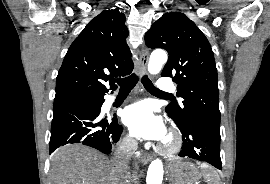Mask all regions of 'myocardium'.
<instances>
[{
  "label": "myocardium",
  "mask_w": 270,
  "mask_h": 184,
  "mask_svg": "<svg viewBox=\"0 0 270 184\" xmlns=\"http://www.w3.org/2000/svg\"><path fill=\"white\" fill-rule=\"evenodd\" d=\"M182 140L180 133L173 129L171 130L163 143L159 147V152L164 156H173L181 149Z\"/></svg>",
  "instance_id": "myocardium-1"
}]
</instances>
